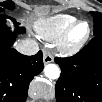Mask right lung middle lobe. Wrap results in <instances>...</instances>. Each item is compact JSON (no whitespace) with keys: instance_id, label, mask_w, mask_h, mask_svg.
I'll list each match as a JSON object with an SVG mask.
<instances>
[{"instance_id":"right-lung-middle-lobe-1","label":"right lung middle lobe","mask_w":102,"mask_h":102,"mask_svg":"<svg viewBox=\"0 0 102 102\" xmlns=\"http://www.w3.org/2000/svg\"><path fill=\"white\" fill-rule=\"evenodd\" d=\"M0 5H1L0 12L4 10L3 8L14 9V3L12 1H5L0 3Z\"/></svg>"}]
</instances>
